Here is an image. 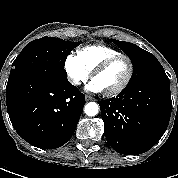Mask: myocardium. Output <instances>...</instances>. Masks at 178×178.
Here are the masks:
<instances>
[{
  "label": "myocardium",
  "mask_w": 178,
  "mask_h": 178,
  "mask_svg": "<svg viewBox=\"0 0 178 178\" xmlns=\"http://www.w3.org/2000/svg\"><path fill=\"white\" fill-rule=\"evenodd\" d=\"M120 59H125L127 61L128 73H127V76L122 84H120L118 87H116L110 91L104 92V94L108 97L118 95L119 93L123 92L129 86V84L133 78V74H134L133 60L128 55H125V54L114 55V56H111V57L107 58L106 60H104L92 72V80H94L96 76H98L99 74L104 72L109 66H111L113 63H115L116 61H118Z\"/></svg>",
  "instance_id": "1"
}]
</instances>
